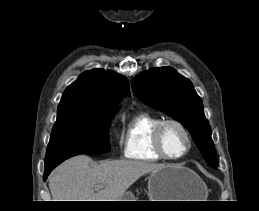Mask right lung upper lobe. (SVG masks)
Segmentation results:
<instances>
[{
	"instance_id": "right-lung-upper-lobe-1",
	"label": "right lung upper lobe",
	"mask_w": 259,
	"mask_h": 211,
	"mask_svg": "<svg viewBox=\"0 0 259 211\" xmlns=\"http://www.w3.org/2000/svg\"><path fill=\"white\" fill-rule=\"evenodd\" d=\"M130 95L124 76L113 71L92 69L82 73L66 88L58 105L57 115L82 109L87 111H116V104Z\"/></svg>"
}]
</instances>
